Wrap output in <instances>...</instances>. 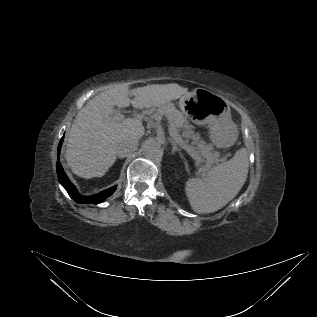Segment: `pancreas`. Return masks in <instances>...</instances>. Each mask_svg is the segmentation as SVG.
Wrapping results in <instances>:
<instances>
[{"label": "pancreas", "instance_id": "cf45deb5", "mask_svg": "<svg viewBox=\"0 0 317 317\" xmlns=\"http://www.w3.org/2000/svg\"><path fill=\"white\" fill-rule=\"evenodd\" d=\"M150 113H152L153 118L165 115L170 129L176 133L182 131V137L185 138L184 145L187 146V152L195 160L196 166H200L199 172H204L211 165L217 163L219 153L214 151L211 144L203 141L199 133H195L194 126L171 103L163 104L156 110L152 109ZM190 139L192 142L188 145ZM202 163L205 164L202 166Z\"/></svg>", "mask_w": 317, "mask_h": 317}]
</instances>
